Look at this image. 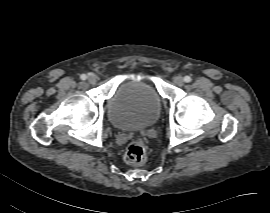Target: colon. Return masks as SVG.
I'll return each instance as SVG.
<instances>
[{
    "instance_id": "colon-1",
    "label": "colon",
    "mask_w": 270,
    "mask_h": 213,
    "mask_svg": "<svg viewBox=\"0 0 270 213\" xmlns=\"http://www.w3.org/2000/svg\"><path fill=\"white\" fill-rule=\"evenodd\" d=\"M147 157V145L143 139L136 138L131 140L124 152V160L131 165H140L145 162Z\"/></svg>"
}]
</instances>
